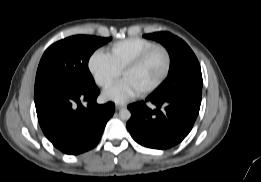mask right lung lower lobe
<instances>
[{
	"label": "right lung lower lobe",
	"instance_id": "98d812e1",
	"mask_svg": "<svg viewBox=\"0 0 261 182\" xmlns=\"http://www.w3.org/2000/svg\"><path fill=\"white\" fill-rule=\"evenodd\" d=\"M100 91L79 93L55 83L35 90L34 101L39 124L47 139L60 151L77 155L99 142L115 105L96 103ZM86 102V106L82 105Z\"/></svg>",
	"mask_w": 261,
	"mask_h": 182
}]
</instances>
